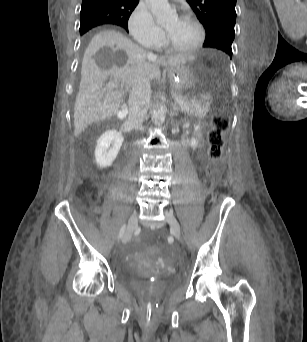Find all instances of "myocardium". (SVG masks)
Instances as JSON below:
<instances>
[{
	"mask_svg": "<svg viewBox=\"0 0 307 342\" xmlns=\"http://www.w3.org/2000/svg\"><path fill=\"white\" fill-rule=\"evenodd\" d=\"M181 21L191 23L197 30L198 32V38L196 42L189 48L183 49V50H174L171 49L168 46L167 40L164 41V44L162 46V50L165 52L176 55V56H181V55H189L192 53H195L198 51L206 42V30L204 24L197 18L192 17V16H185L181 18Z\"/></svg>",
	"mask_w": 307,
	"mask_h": 342,
	"instance_id": "1",
	"label": "myocardium"
}]
</instances>
